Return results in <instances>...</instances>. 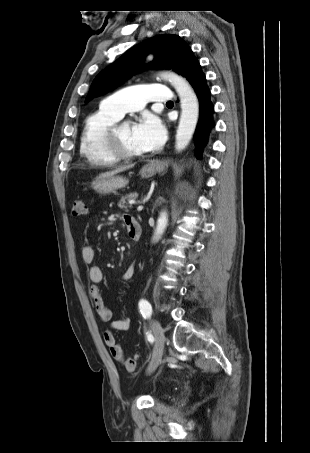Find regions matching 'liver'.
I'll list each match as a JSON object with an SVG mask.
<instances>
[{"label":"liver","mask_w":310,"mask_h":453,"mask_svg":"<svg viewBox=\"0 0 310 453\" xmlns=\"http://www.w3.org/2000/svg\"><path fill=\"white\" fill-rule=\"evenodd\" d=\"M133 165H127V166H120L118 168H115L114 170H111V171H107V172H104V173H101L99 174V176L96 178L97 180L98 179H102V178H107V177H110V176H114L115 174L117 173H120V172H123L125 170H128L130 168H132Z\"/></svg>","instance_id":"6515ba94"}]
</instances>
